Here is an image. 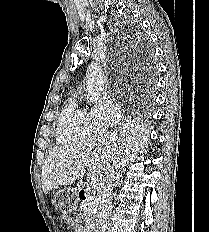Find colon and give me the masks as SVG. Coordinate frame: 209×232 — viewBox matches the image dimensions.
Listing matches in <instances>:
<instances>
[{"mask_svg": "<svg viewBox=\"0 0 209 232\" xmlns=\"http://www.w3.org/2000/svg\"><path fill=\"white\" fill-rule=\"evenodd\" d=\"M63 217L65 218L66 221H71V217L69 216V214H62Z\"/></svg>", "mask_w": 209, "mask_h": 232, "instance_id": "colon-1", "label": "colon"}]
</instances>
